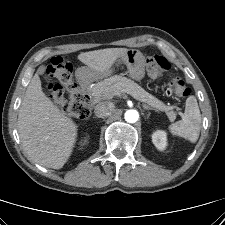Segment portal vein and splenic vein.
I'll return each instance as SVG.
<instances>
[{
	"mask_svg": "<svg viewBox=\"0 0 225 225\" xmlns=\"http://www.w3.org/2000/svg\"><path fill=\"white\" fill-rule=\"evenodd\" d=\"M124 92L127 93V94H130V95H131L132 97H134L135 99L144 102V100H141L136 94H134V93H132V92H130V91H124Z\"/></svg>",
	"mask_w": 225,
	"mask_h": 225,
	"instance_id": "obj_1",
	"label": "portal vein and splenic vein"
}]
</instances>
